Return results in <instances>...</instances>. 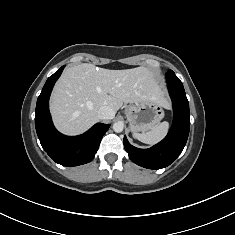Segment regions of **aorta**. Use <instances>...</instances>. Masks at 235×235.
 <instances>
[{
	"label": "aorta",
	"instance_id": "1",
	"mask_svg": "<svg viewBox=\"0 0 235 235\" xmlns=\"http://www.w3.org/2000/svg\"><path fill=\"white\" fill-rule=\"evenodd\" d=\"M123 128H124V124L122 122H116V123L113 124V130L116 133L122 132Z\"/></svg>",
	"mask_w": 235,
	"mask_h": 235
}]
</instances>
